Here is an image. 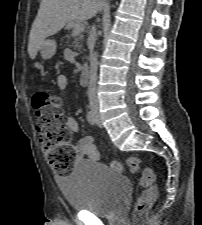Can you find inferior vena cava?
Masks as SVG:
<instances>
[{"label": "inferior vena cava", "instance_id": "inferior-vena-cava-1", "mask_svg": "<svg viewBox=\"0 0 202 225\" xmlns=\"http://www.w3.org/2000/svg\"><path fill=\"white\" fill-rule=\"evenodd\" d=\"M95 33L96 29L93 26L91 28V36L89 38L88 47L90 50V71H89V86H88V97H89V104L91 107H98V100H97V58L96 55L93 53L94 44H95Z\"/></svg>", "mask_w": 202, "mask_h": 225}]
</instances>
